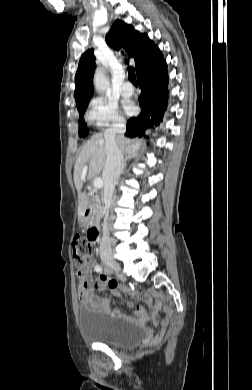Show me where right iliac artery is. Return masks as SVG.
<instances>
[{
  "instance_id": "right-iliac-artery-1",
  "label": "right iliac artery",
  "mask_w": 252,
  "mask_h": 390,
  "mask_svg": "<svg viewBox=\"0 0 252 390\" xmlns=\"http://www.w3.org/2000/svg\"><path fill=\"white\" fill-rule=\"evenodd\" d=\"M95 271L98 272V273H101L102 272V267L100 265H96Z\"/></svg>"
}]
</instances>
